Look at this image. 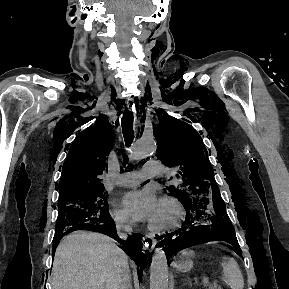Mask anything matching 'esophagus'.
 Listing matches in <instances>:
<instances>
[{"label":"esophagus","mask_w":289,"mask_h":289,"mask_svg":"<svg viewBox=\"0 0 289 289\" xmlns=\"http://www.w3.org/2000/svg\"><path fill=\"white\" fill-rule=\"evenodd\" d=\"M127 105H128V108L131 110H133L134 109V104H132L131 103V101H129L128 103H127ZM144 242H145V245L147 246V247H149V248H151V249H154L155 248V246H156V244H157V241H156V239L153 237V236H151V235H145L144 236Z\"/></svg>","instance_id":"obj_1"}]
</instances>
